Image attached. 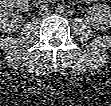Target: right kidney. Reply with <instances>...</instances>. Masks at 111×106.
Instances as JSON below:
<instances>
[{
	"label": "right kidney",
	"instance_id": "right-kidney-1",
	"mask_svg": "<svg viewBox=\"0 0 111 106\" xmlns=\"http://www.w3.org/2000/svg\"><path fill=\"white\" fill-rule=\"evenodd\" d=\"M18 8L16 12L14 9ZM29 2L27 0H2L0 2V23L1 30L10 32L21 26L22 17L19 11H28Z\"/></svg>",
	"mask_w": 111,
	"mask_h": 106
}]
</instances>
